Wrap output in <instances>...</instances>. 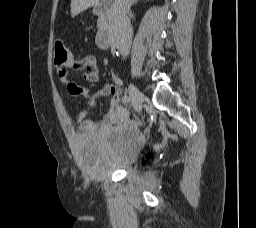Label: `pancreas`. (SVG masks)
Returning <instances> with one entry per match:
<instances>
[{
	"mask_svg": "<svg viewBox=\"0 0 256 228\" xmlns=\"http://www.w3.org/2000/svg\"><path fill=\"white\" fill-rule=\"evenodd\" d=\"M99 26H101V22L99 21Z\"/></svg>",
	"mask_w": 256,
	"mask_h": 228,
	"instance_id": "pancreas-1",
	"label": "pancreas"
}]
</instances>
